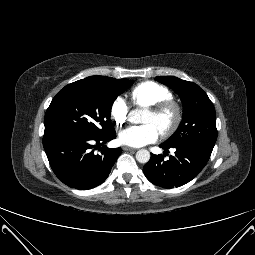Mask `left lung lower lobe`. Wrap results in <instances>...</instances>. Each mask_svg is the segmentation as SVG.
<instances>
[{"mask_svg": "<svg viewBox=\"0 0 255 255\" xmlns=\"http://www.w3.org/2000/svg\"><path fill=\"white\" fill-rule=\"evenodd\" d=\"M165 152L171 148L164 143L160 145ZM174 156L165 160V155L151 154L144 165L146 178L154 185L163 188L179 187L191 181L206 165L212 153L211 149L201 146H179Z\"/></svg>", "mask_w": 255, "mask_h": 255, "instance_id": "1", "label": "left lung lower lobe"}]
</instances>
